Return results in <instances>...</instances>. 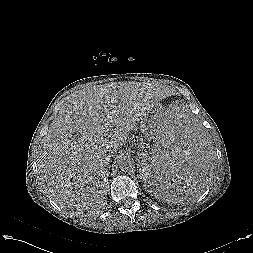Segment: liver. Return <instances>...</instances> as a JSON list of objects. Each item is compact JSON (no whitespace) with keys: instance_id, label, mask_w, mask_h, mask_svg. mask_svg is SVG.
<instances>
[{"instance_id":"6515ba94","label":"liver","mask_w":253,"mask_h":253,"mask_svg":"<svg viewBox=\"0 0 253 253\" xmlns=\"http://www.w3.org/2000/svg\"><path fill=\"white\" fill-rule=\"evenodd\" d=\"M165 91L161 85L121 82L72 95L41 142L38 168L51 199L78 214L104 208L112 154Z\"/></svg>"}]
</instances>
